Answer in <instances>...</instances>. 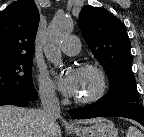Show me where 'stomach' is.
<instances>
[{
    "instance_id": "stomach-1",
    "label": "stomach",
    "mask_w": 144,
    "mask_h": 137,
    "mask_svg": "<svg viewBox=\"0 0 144 137\" xmlns=\"http://www.w3.org/2000/svg\"><path fill=\"white\" fill-rule=\"evenodd\" d=\"M78 137H118V130L109 121L99 120L90 126L74 129Z\"/></svg>"
}]
</instances>
